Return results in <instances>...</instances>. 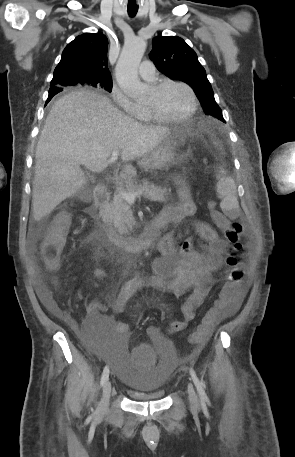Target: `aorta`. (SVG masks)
<instances>
[{
	"instance_id": "762f6f07",
	"label": "aorta",
	"mask_w": 295,
	"mask_h": 457,
	"mask_svg": "<svg viewBox=\"0 0 295 457\" xmlns=\"http://www.w3.org/2000/svg\"><path fill=\"white\" fill-rule=\"evenodd\" d=\"M145 50L146 42L140 37L126 41L115 68L120 88L135 99L146 94V87L138 77V66Z\"/></svg>"
}]
</instances>
